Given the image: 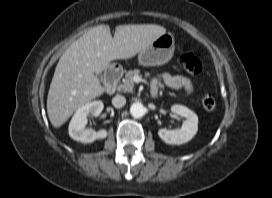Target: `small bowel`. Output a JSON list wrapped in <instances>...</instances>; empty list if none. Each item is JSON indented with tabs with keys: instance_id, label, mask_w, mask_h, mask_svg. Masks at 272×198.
Masks as SVG:
<instances>
[{
	"instance_id": "1",
	"label": "small bowel",
	"mask_w": 272,
	"mask_h": 198,
	"mask_svg": "<svg viewBox=\"0 0 272 198\" xmlns=\"http://www.w3.org/2000/svg\"><path fill=\"white\" fill-rule=\"evenodd\" d=\"M160 81L164 82L169 87H172L175 89H183L186 94H190L193 91V85L190 79L183 76H174V75L165 73L160 75L153 82V92L156 91V87Z\"/></svg>"
}]
</instances>
